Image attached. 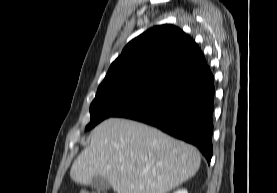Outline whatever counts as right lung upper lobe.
<instances>
[{
	"mask_svg": "<svg viewBox=\"0 0 277 193\" xmlns=\"http://www.w3.org/2000/svg\"><path fill=\"white\" fill-rule=\"evenodd\" d=\"M207 65L192 38L173 25L155 26L130 41L111 64L98 89L157 90Z\"/></svg>",
	"mask_w": 277,
	"mask_h": 193,
	"instance_id": "right-lung-upper-lobe-1",
	"label": "right lung upper lobe"
}]
</instances>
